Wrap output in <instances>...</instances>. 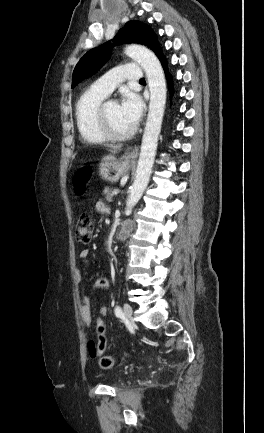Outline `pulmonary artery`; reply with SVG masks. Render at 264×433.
<instances>
[{"mask_svg":"<svg viewBox=\"0 0 264 433\" xmlns=\"http://www.w3.org/2000/svg\"><path fill=\"white\" fill-rule=\"evenodd\" d=\"M142 69L136 64H123L111 69L105 75L93 82L91 88L105 96L125 80H140Z\"/></svg>","mask_w":264,"mask_h":433,"instance_id":"obj_1","label":"pulmonary artery"}]
</instances>
